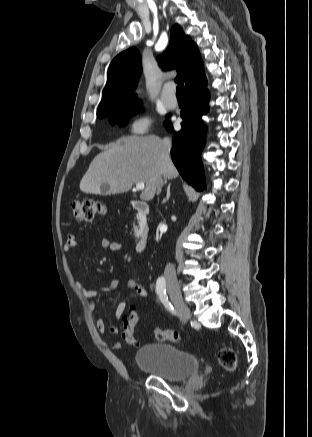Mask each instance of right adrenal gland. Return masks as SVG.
Instances as JSON below:
<instances>
[{"mask_svg":"<svg viewBox=\"0 0 312 437\" xmlns=\"http://www.w3.org/2000/svg\"><path fill=\"white\" fill-rule=\"evenodd\" d=\"M165 183H167V181L165 180ZM170 187H171V183H169L168 184V187H167V194H166V197L163 199V203H165V202H167L168 200H169V198H170V196H171V193H170Z\"/></svg>","mask_w":312,"mask_h":437,"instance_id":"obj_1","label":"right adrenal gland"}]
</instances>
